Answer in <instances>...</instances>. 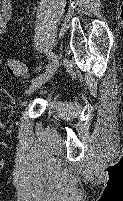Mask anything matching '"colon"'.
Masks as SVG:
<instances>
[{
  "mask_svg": "<svg viewBox=\"0 0 123 201\" xmlns=\"http://www.w3.org/2000/svg\"><path fill=\"white\" fill-rule=\"evenodd\" d=\"M5 70L9 75L20 76L25 72L24 64L16 59H10L5 64Z\"/></svg>",
  "mask_w": 123,
  "mask_h": 201,
  "instance_id": "5ec220e1",
  "label": "colon"
}]
</instances>
